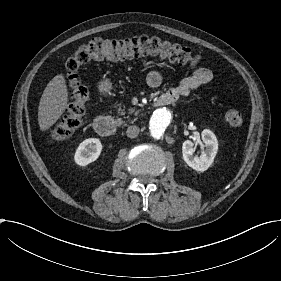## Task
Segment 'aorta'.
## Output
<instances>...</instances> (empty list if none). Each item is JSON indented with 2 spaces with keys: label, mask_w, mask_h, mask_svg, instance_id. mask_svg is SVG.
Here are the masks:
<instances>
[{
  "label": "aorta",
  "mask_w": 281,
  "mask_h": 281,
  "mask_svg": "<svg viewBox=\"0 0 281 281\" xmlns=\"http://www.w3.org/2000/svg\"><path fill=\"white\" fill-rule=\"evenodd\" d=\"M172 115L167 108H159L153 112L150 120V132L154 138L160 139L169 128Z\"/></svg>",
  "instance_id": "obj_1"
}]
</instances>
